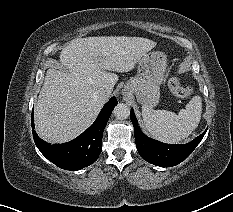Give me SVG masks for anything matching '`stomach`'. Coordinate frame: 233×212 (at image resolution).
Wrapping results in <instances>:
<instances>
[{
    "label": "stomach",
    "instance_id": "1",
    "mask_svg": "<svg viewBox=\"0 0 233 212\" xmlns=\"http://www.w3.org/2000/svg\"><path fill=\"white\" fill-rule=\"evenodd\" d=\"M167 58L165 53L152 51L145 53L137 63V75L124 86L125 94H134L139 103L150 108L156 106L160 98V85L165 76Z\"/></svg>",
    "mask_w": 233,
    "mask_h": 212
}]
</instances>
